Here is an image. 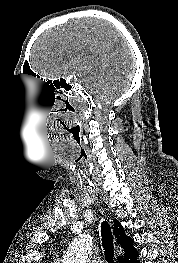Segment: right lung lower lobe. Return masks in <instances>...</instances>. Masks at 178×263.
Wrapping results in <instances>:
<instances>
[{
  "label": "right lung lower lobe",
  "instance_id": "obj_1",
  "mask_svg": "<svg viewBox=\"0 0 178 263\" xmlns=\"http://www.w3.org/2000/svg\"><path fill=\"white\" fill-rule=\"evenodd\" d=\"M139 254L137 251L132 253L129 257L125 258L121 263H140L138 261Z\"/></svg>",
  "mask_w": 178,
  "mask_h": 263
}]
</instances>
